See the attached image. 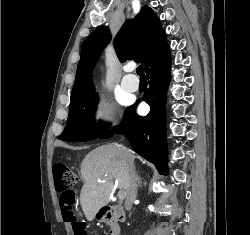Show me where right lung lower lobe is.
I'll use <instances>...</instances> for the list:
<instances>
[{"instance_id": "obj_1", "label": "right lung lower lobe", "mask_w": 250, "mask_h": 235, "mask_svg": "<svg viewBox=\"0 0 250 235\" xmlns=\"http://www.w3.org/2000/svg\"><path fill=\"white\" fill-rule=\"evenodd\" d=\"M171 57L169 45L150 62L145 70L150 80V87L144 93L143 100L151 108L146 117L135 114V105L126 112L121 127L108 129L100 136L109 138L113 131L122 132L129 140L135 152L152 162L162 174L167 173L165 101L166 90L170 83Z\"/></svg>"}]
</instances>
